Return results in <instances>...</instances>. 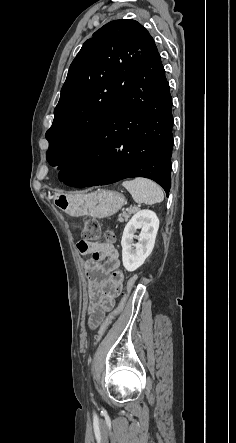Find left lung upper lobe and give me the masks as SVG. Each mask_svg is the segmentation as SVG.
<instances>
[{"mask_svg": "<svg viewBox=\"0 0 236 443\" xmlns=\"http://www.w3.org/2000/svg\"><path fill=\"white\" fill-rule=\"evenodd\" d=\"M156 49L148 31L135 20H115L88 39L70 65L46 132L47 161L62 169L118 104Z\"/></svg>", "mask_w": 236, "mask_h": 443, "instance_id": "1", "label": "left lung upper lobe"}]
</instances>
